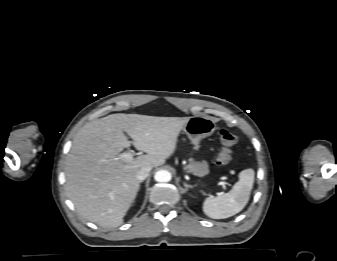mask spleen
Masks as SVG:
<instances>
[{"label": "spleen", "mask_w": 337, "mask_h": 261, "mask_svg": "<svg viewBox=\"0 0 337 261\" xmlns=\"http://www.w3.org/2000/svg\"><path fill=\"white\" fill-rule=\"evenodd\" d=\"M255 172L245 169L232 189L217 197H208L203 203L204 213L213 219H224L239 213L248 203L253 188Z\"/></svg>", "instance_id": "3e777b00"}]
</instances>
